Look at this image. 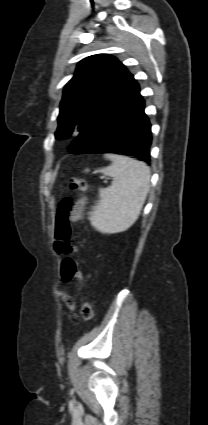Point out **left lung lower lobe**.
Wrapping results in <instances>:
<instances>
[{
  "label": "left lung lower lobe",
  "mask_w": 208,
  "mask_h": 425,
  "mask_svg": "<svg viewBox=\"0 0 208 425\" xmlns=\"http://www.w3.org/2000/svg\"><path fill=\"white\" fill-rule=\"evenodd\" d=\"M139 84L133 80L75 139L80 153H115L150 162L151 125Z\"/></svg>",
  "instance_id": "0a47b994"
}]
</instances>
